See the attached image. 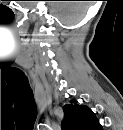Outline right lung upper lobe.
Instances as JSON below:
<instances>
[{"mask_svg": "<svg viewBox=\"0 0 123 130\" xmlns=\"http://www.w3.org/2000/svg\"><path fill=\"white\" fill-rule=\"evenodd\" d=\"M70 102L63 107V130H101V125L90 108L77 104L76 100Z\"/></svg>", "mask_w": 123, "mask_h": 130, "instance_id": "obj_1", "label": "right lung upper lobe"}]
</instances>
